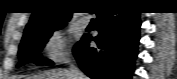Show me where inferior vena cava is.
<instances>
[{"label": "inferior vena cava", "mask_w": 177, "mask_h": 79, "mask_svg": "<svg viewBox=\"0 0 177 79\" xmlns=\"http://www.w3.org/2000/svg\"><path fill=\"white\" fill-rule=\"evenodd\" d=\"M69 71L72 79H85V76L82 74L79 68L75 66L73 63H70Z\"/></svg>", "instance_id": "obj_1"}]
</instances>
